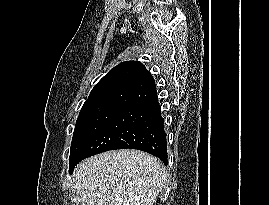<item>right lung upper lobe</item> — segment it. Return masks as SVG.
<instances>
[{
    "label": "right lung upper lobe",
    "mask_w": 269,
    "mask_h": 205,
    "mask_svg": "<svg viewBox=\"0 0 269 205\" xmlns=\"http://www.w3.org/2000/svg\"><path fill=\"white\" fill-rule=\"evenodd\" d=\"M157 96L154 78L139 61L114 67L92 89L83 107L119 105L130 107Z\"/></svg>",
    "instance_id": "cb5924a9"
}]
</instances>
